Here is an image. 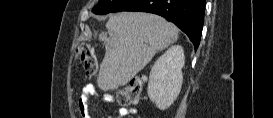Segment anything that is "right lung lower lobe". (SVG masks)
<instances>
[{"mask_svg":"<svg viewBox=\"0 0 273 118\" xmlns=\"http://www.w3.org/2000/svg\"><path fill=\"white\" fill-rule=\"evenodd\" d=\"M206 0H125L113 12L141 11L160 15L173 22L198 48Z\"/></svg>","mask_w":273,"mask_h":118,"instance_id":"obj_1","label":"right lung lower lobe"}]
</instances>
